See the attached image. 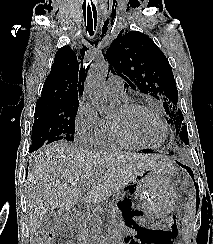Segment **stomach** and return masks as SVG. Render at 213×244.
Instances as JSON below:
<instances>
[{"instance_id": "obj_1", "label": "stomach", "mask_w": 213, "mask_h": 244, "mask_svg": "<svg viewBox=\"0 0 213 244\" xmlns=\"http://www.w3.org/2000/svg\"><path fill=\"white\" fill-rule=\"evenodd\" d=\"M130 183L133 193L142 202L148 219L165 218L176 209L178 189L161 171H144L141 175H135Z\"/></svg>"}]
</instances>
